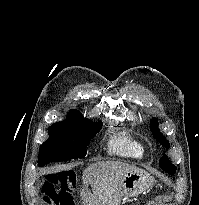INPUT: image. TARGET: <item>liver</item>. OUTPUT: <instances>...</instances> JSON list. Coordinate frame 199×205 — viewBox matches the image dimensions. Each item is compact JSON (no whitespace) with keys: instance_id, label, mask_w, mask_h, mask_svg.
Wrapping results in <instances>:
<instances>
[{"instance_id":"6515ba94","label":"liver","mask_w":199,"mask_h":205,"mask_svg":"<svg viewBox=\"0 0 199 205\" xmlns=\"http://www.w3.org/2000/svg\"><path fill=\"white\" fill-rule=\"evenodd\" d=\"M131 172H143L136 166L117 161H100L89 165L82 175L80 196L83 205H119L121 186ZM91 185L92 193L88 190Z\"/></svg>"}]
</instances>
